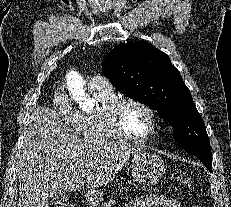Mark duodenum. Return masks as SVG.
I'll use <instances>...</instances> for the list:
<instances>
[{"label": "duodenum", "mask_w": 231, "mask_h": 207, "mask_svg": "<svg viewBox=\"0 0 231 207\" xmlns=\"http://www.w3.org/2000/svg\"><path fill=\"white\" fill-rule=\"evenodd\" d=\"M95 198H96V194L93 192H89L86 194V201L90 204L95 200Z\"/></svg>", "instance_id": "1"}]
</instances>
